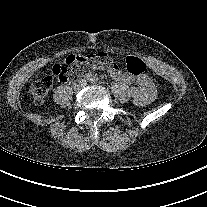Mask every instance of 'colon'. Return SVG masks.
Masks as SVG:
<instances>
[{
	"label": "colon",
	"instance_id": "colon-1",
	"mask_svg": "<svg viewBox=\"0 0 207 207\" xmlns=\"http://www.w3.org/2000/svg\"><path fill=\"white\" fill-rule=\"evenodd\" d=\"M113 64L112 57L104 52L86 55H69L61 64L53 66L51 73L32 83L30 86V95L34 103L40 105L44 102L55 78L72 71H78L85 66L107 68ZM126 69L135 76H142L148 71L144 61L132 56L126 59Z\"/></svg>",
	"mask_w": 207,
	"mask_h": 207
}]
</instances>
